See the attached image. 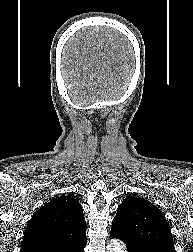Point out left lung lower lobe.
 <instances>
[{
  "instance_id": "obj_1",
  "label": "left lung lower lobe",
  "mask_w": 193,
  "mask_h": 252,
  "mask_svg": "<svg viewBox=\"0 0 193 252\" xmlns=\"http://www.w3.org/2000/svg\"><path fill=\"white\" fill-rule=\"evenodd\" d=\"M152 252H160V251H152Z\"/></svg>"
}]
</instances>
